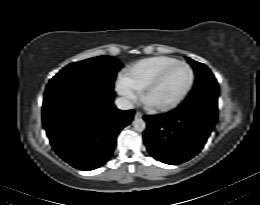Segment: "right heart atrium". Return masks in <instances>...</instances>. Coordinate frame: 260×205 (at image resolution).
<instances>
[{"instance_id": "obj_1", "label": "right heart atrium", "mask_w": 260, "mask_h": 205, "mask_svg": "<svg viewBox=\"0 0 260 205\" xmlns=\"http://www.w3.org/2000/svg\"><path fill=\"white\" fill-rule=\"evenodd\" d=\"M117 90L119 94L122 95L124 99L130 104H133L140 97V91L129 85L124 80L123 76L120 77L117 82Z\"/></svg>"}]
</instances>
